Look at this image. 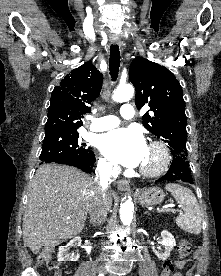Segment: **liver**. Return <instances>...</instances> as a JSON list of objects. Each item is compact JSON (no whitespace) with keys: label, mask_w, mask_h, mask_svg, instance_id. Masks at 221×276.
Wrapping results in <instances>:
<instances>
[{"label":"liver","mask_w":221,"mask_h":276,"mask_svg":"<svg viewBox=\"0 0 221 276\" xmlns=\"http://www.w3.org/2000/svg\"><path fill=\"white\" fill-rule=\"evenodd\" d=\"M96 181L81 170L57 165L40 166L33 177L23 216V241L34 254L42 246L55 247L84 228ZM108 208L112 193L106 192Z\"/></svg>","instance_id":"obj_1"}]
</instances>
